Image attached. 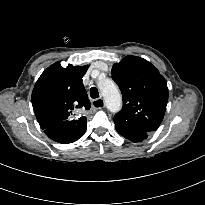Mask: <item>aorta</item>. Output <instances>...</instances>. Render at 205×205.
I'll return each mask as SVG.
<instances>
[{
  "label": "aorta",
  "mask_w": 205,
  "mask_h": 205,
  "mask_svg": "<svg viewBox=\"0 0 205 205\" xmlns=\"http://www.w3.org/2000/svg\"><path fill=\"white\" fill-rule=\"evenodd\" d=\"M98 87L108 110L112 113L118 112L122 106V97L116 84L111 79H104L98 82Z\"/></svg>",
  "instance_id": "aorta-1"
}]
</instances>
